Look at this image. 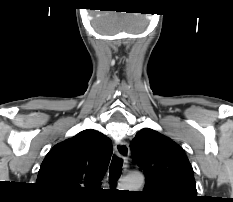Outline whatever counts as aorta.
<instances>
[{
    "mask_svg": "<svg viewBox=\"0 0 233 202\" xmlns=\"http://www.w3.org/2000/svg\"><path fill=\"white\" fill-rule=\"evenodd\" d=\"M144 183V178L141 174L128 175L122 180L123 190L136 191Z\"/></svg>",
    "mask_w": 233,
    "mask_h": 202,
    "instance_id": "1",
    "label": "aorta"
}]
</instances>
